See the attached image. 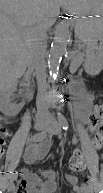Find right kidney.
<instances>
[{"instance_id": "obj_1", "label": "right kidney", "mask_w": 103, "mask_h": 193, "mask_svg": "<svg viewBox=\"0 0 103 193\" xmlns=\"http://www.w3.org/2000/svg\"><path fill=\"white\" fill-rule=\"evenodd\" d=\"M17 89V80L8 81L2 79L0 87V111L9 117L16 116L24 104L12 103V96Z\"/></svg>"}]
</instances>
